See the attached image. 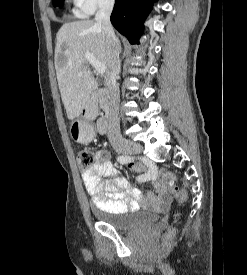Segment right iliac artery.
Masks as SVG:
<instances>
[{"mask_svg": "<svg viewBox=\"0 0 247 275\" xmlns=\"http://www.w3.org/2000/svg\"><path fill=\"white\" fill-rule=\"evenodd\" d=\"M131 160H133V157L129 156V155H121L118 156L117 161L121 164H126L131 162ZM141 162H144L147 168V172L145 175H141L138 177L139 181H146V180H156L157 174H159V169L157 167L156 164H150L151 160L148 159V157H141L139 159Z\"/></svg>", "mask_w": 247, "mask_h": 275, "instance_id": "1", "label": "right iliac artery"}]
</instances>
